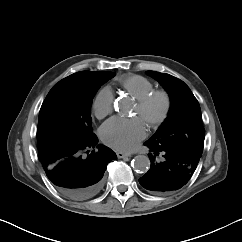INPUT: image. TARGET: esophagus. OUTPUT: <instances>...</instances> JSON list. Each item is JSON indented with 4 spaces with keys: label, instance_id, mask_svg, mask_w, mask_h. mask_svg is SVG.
Masks as SVG:
<instances>
[{
    "label": "esophagus",
    "instance_id": "obj_1",
    "mask_svg": "<svg viewBox=\"0 0 242 242\" xmlns=\"http://www.w3.org/2000/svg\"><path fill=\"white\" fill-rule=\"evenodd\" d=\"M117 157L118 158H128L130 155L128 153H123V152H117Z\"/></svg>",
    "mask_w": 242,
    "mask_h": 242
}]
</instances>
